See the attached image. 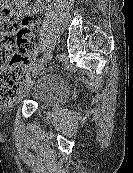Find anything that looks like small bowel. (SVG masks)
I'll list each match as a JSON object with an SVG mask.
<instances>
[{"label": "small bowel", "mask_w": 133, "mask_h": 173, "mask_svg": "<svg viewBox=\"0 0 133 173\" xmlns=\"http://www.w3.org/2000/svg\"><path fill=\"white\" fill-rule=\"evenodd\" d=\"M38 54L37 48L32 49L27 55L25 61H23L22 66L26 67L30 65L36 58Z\"/></svg>", "instance_id": "c3829d8e"}]
</instances>
